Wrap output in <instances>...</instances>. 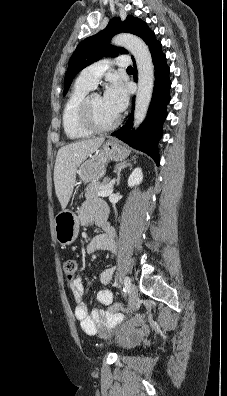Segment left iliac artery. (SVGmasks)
<instances>
[{
	"mask_svg": "<svg viewBox=\"0 0 227 396\" xmlns=\"http://www.w3.org/2000/svg\"><path fill=\"white\" fill-rule=\"evenodd\" d=\"M129 288H130V278L125 277L124 278V287H123L124 295H126V293L129 291Z\"/></svg>",
	"mask_w": 227,
	"mask_h": 396,
	"instance_id": "left-iliac-artery-1",
	"label": "left iliac artery"
}]
</instances>
